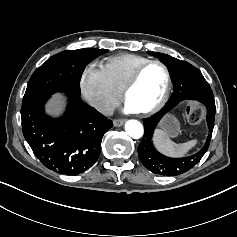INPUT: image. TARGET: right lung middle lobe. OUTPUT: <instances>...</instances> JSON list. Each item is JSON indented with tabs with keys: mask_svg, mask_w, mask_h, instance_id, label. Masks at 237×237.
<instances>
[{
	"mask_svg": "<svg viewBox=\"0 0 237 237\" xmlns=\"http://www.w3.org/2000/svg\"><path fill=\"white\" fill-rule=\"evenodd\" d=\"M107 50H67L50 57L32 74L23 98L28 104L54 92L81 94L80 79L85 66Z\"/></svg>",
	"mask_w": 237,
	"mask_h": 237,
	"instance_id": "right-lung-middle-lobe-1",
	"label": "right lung middle lobe"
}]
</instances>
